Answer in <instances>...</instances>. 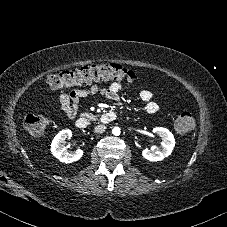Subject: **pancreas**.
Returning <instances> with one entry per match:
<instances>
[{
	"instance_id": "obj_1",
	"label": "pancreas",
	"mask_w": 227,
	"mask_h": 227,
	"mask_svg": "<svg viewBox=\"0 0 227 227\" xmlns=\"http://www.w3.org/2000/svg\"><path fill=\"white\" fill-rule=\"evenodd\" d=\"M81 116L86 117L89 120H95L97 119V116L91 114V113H82Z\"/></svg>"
}]
</instances>
